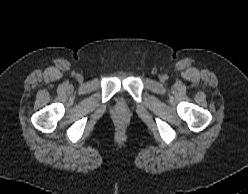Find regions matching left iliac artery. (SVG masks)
<instances>
[{"label": "left iliac artery", "instance_id": "44dca946", "mask_svg": "<svg viewBox=\"0 0 248 194\" xmlns=\"http://www.w3.org/2000/svg\"><path fill=\"white\" fill-rule=\"evenodd\" d=\"M164 79L167 80L168 79V76L167 75H164Z\"/></svg>", "mask_w": 248, "mask_h": 194}]
</instances>
